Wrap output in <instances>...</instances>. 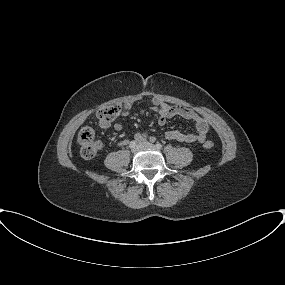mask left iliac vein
Wrapping results in <instances>:
<instances>
[{"instance_id":"obj_1","label":"left iliac vein","mask_w":285,"mask_h":285,"mask_svg":"<svg viewBox=\"0 0 285 285\" xmlns=\"http://www.w3.org/2000/svg\"><path fill=\"white\" fill-rule=\"evenodd\" d=\"M142 144H143V146L146 147V148H151V149H155V148H156L155 145H153V144H151V143H149V142H147V141H144Z\"/></svg>"}]
</instances>
